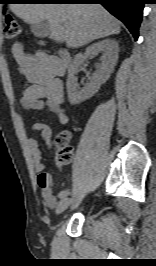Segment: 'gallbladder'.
Wrapping results in <instances>:
<instances>
[{
	"instance_id": "obj_1",
	"label": "gallbladder",
	"mask_w": 156,
	"mask_h": 266,
	"mask_svg": "<svg viewBox=\"0 0 156 266\" xmlns=\"http://www.w3.org/2000/svg\"><path fill=\"white\" fill-rule=\"evenodd\" d=\"M30 29L34 36L38 38H44L50 34V28L46 21L32 24Z\"/></svg>"
}]
</instances>
